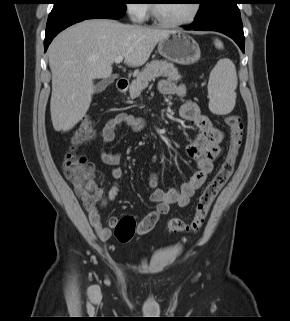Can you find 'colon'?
Wrapping results in <instances>:
<instances>
[{
    "instance_id": "colon-1",
    "label": "colon",
    "mask_w": 290,
    "mask_h": 321,
    "mask_svg": "<svg viewBox=\"0 0 290 321\" xmlns=\"http://www.w3.org/2000/svg\"><path fill=\"white\" fill-rule=\"evenodd\" d=\"M225 122L230 128V140L226 156L219 169L208 182L198 197L195 214L190 222L173 218L168 222L171 233H197L206 222L210 208L216 197L231 177L243 140V123L239 115L228 114ZM94 123L84 118L76 128L71 139L70 150L65 154L63 172L71 183L75 193L81 199L85 208H92L100 199L101 191L95 182L94 165L78 149L90 141L94 134ZM137 230L133 217L121 218L115 226V236L119 242L130 241Z\"/></svg>"
}]
</instances>
